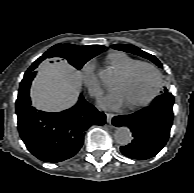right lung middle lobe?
Instances as JSON below:
<instances>
[{"label":"right lung middle lobe","instance_id":"obj_1","mask_svg":"<svg viewBox=\"0 0 194 193\" xmlns=\"http://www.w3.org/2000/svg\"><path fill=\"white\" fill-rule=\"evenodd\" d=\"M95 55H83L77 52H65L63 57L75 68L80 69L88 60L93 58ZM24 79V78H23ZM31 84V83H30ZM30 84H25L22 80L19 88L18 96L29 94Z\"/></svg>","mask_w":194,"mask_h":193}]
</instances>
